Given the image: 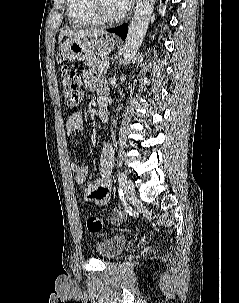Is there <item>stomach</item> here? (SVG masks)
Instances as JSON below:
<instances>
[{
    "label": "stomach",
    "instance_id": "0dacf381",
    "mask_svg": "<svg viewBox=\"0 0 239 303\" xmlns=\"http://www.w3.org/2000/svg\"><path fill=\"white\" fill-rule=\"evenodd\" d=\"M117 45L114 36H105L99 39L80 38L67 40L61 47V56L69 62L90 59L96 54H106Z\"/></svg>",
    "mask_w": 239,
    "mask_h": 303
}]
</instances>
